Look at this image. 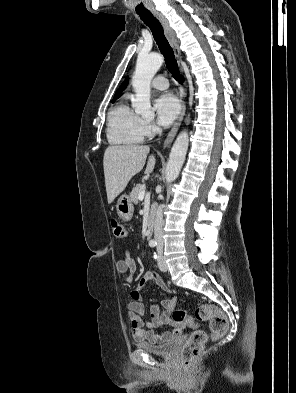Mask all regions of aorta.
Instances as JSON below:
<instances>
[{
    "instance_id": "762f6f07",
    "label": "aorta",
    "mask_w": 296,
    "mask_h": 393,
    "mask_svg": "<svg viewBox=\"0 0 296 393\" xmlns=\"http://www.w3.org/2000/svg\"><path fill=\"white\" fill-rule=\"evenodd\" d=\"M163 63V57L158 53L139 54L136 68L132 77V86L136 93L133 107L137 114L150 116L153 114L150 103V83ZM189 136L182 131L176 138L171 149L166 167L165 178L168 183L173 182L180 173L188 150Z\"/></svg>"
}]
</instances>
